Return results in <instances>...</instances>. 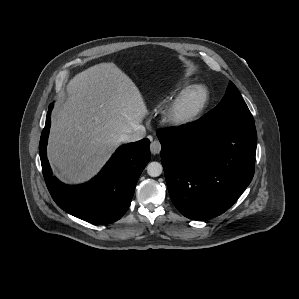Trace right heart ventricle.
Here are the masks:
<instances>
[{"label": "right heart ventricle", "mask_w": 299, "mask_h": 299, "mask_svg": "<svg viewBox=\"0 0 299 299\" xmlns=\"http://www.w3.org/2000/svg\"><path fill=\"white\" fill-rule=\"evenodd\" d=\"M190 86V83L188 81H183L177 85L178 91H184L186 88Z\"/></svg>", "instance_id": "1"}]
</instances>
